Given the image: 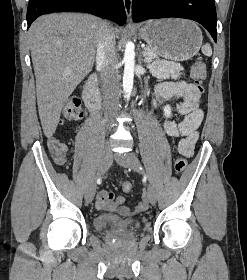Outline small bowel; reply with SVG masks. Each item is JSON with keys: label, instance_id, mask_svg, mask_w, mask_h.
Returning a JSON list of instances; mask_svg holds the SVG:
<instances>
[{"label": "small bowel", "instance_id": "1", "mask_svg": "<svg viewBox=\"0 0 247 280\" xmlns=\"http://www.w3.org/2000/svg\"><path fill=\"white\" fill-rule=\"evenodd\" d=\"M156 94L164 99L175 97L183 99V102L177 106V110L184 116V119L178 124L167 121L164 123V129L169 136L181 138L179 152L186 157H190L198 140L197 129L203 119V112L198 108L201 91L196 85L179 81L159 84L156 88ZM96 207L102 211L119 212L127 216L146 210L148 200L146 193L143 192L141 201L134 209H130L124 205L123 197L101 190L97 195Z\"/></svg>", "mask_w": 247, "mask_h": 280}]
</instances>
